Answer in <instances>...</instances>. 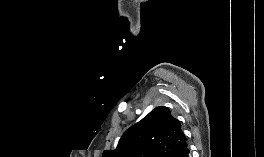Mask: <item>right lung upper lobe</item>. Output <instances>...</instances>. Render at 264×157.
<instances>
[{
    "label": "right lung upper lobe",
    "mask_w": 264,
    "mask_h": 157,
    "mask_svg": "<svg viewBox=\"0 0 264 157\" xmlns=\"http://www.w3.org/2000/svg\"><path fill=\"white\" fill-rule=\"evenodd\" d=\"M187 148L180 121L170 109L156 107L121 137L109 157H178Z\"/></svg>",
    "instance_id": "right-lung-upper-lobe-1"
}]
</instances>
